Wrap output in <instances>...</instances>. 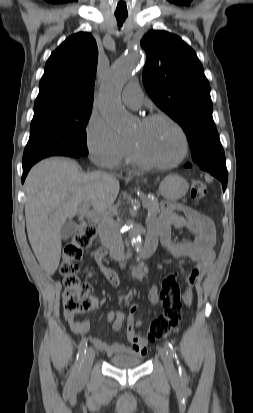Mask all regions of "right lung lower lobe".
<instances>
[{
  "label": "right lung lower lobe",
  "mask_w": 253,
  "mask_h": 413,
  "mask_svg": "<svg viewBox=\"0 0 253 413\" xmlns=\"http://www.w3.org/2000/svg\"><path fill=\"white\" fill-rule=\"evenodd\" d=\"M55 155H61V156H69V157H80V156H84L81 153L78 152H63V153H59V154H55ZM54 156V155H51ZM49 157V156H47ZM46 158V157H42V158H36V159H32V160H28V161H24L23 162V175H22V182H24L28 171L30 170V168L39 160Z\"/></svg>",
  "instance_id": "obj_1"
}]
</instances>
